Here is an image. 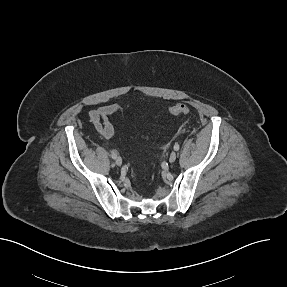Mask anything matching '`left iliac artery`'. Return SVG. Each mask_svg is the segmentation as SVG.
Listing matches in <instances>:
<instances>
[{
  "mask_svg": "<svg viewBox=\"0 0 287 287\" xmlns=\"http://www.w3.org/2000/svg\"><path fill=\"white\" fill-rule=\"evenodd\" d=\"M179 148H180L179 144L176 143V144L174 145V150H175V151H178Z\"/></svg>",
  "mask_w": 287,
  "mask_h": 287,
  "instance_id": "obj_1",
  "label": "left iliac artery"
}]
</instances>
